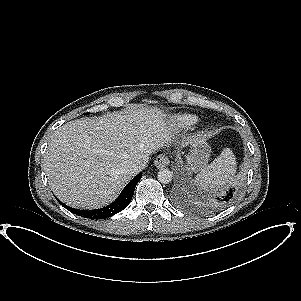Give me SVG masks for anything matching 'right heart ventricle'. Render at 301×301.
I'll return each instance as SVG.
<instances>
[{"label":"right heart ventricle","mask_w":301,"mask_h":301,"mask_svg":"<svg viewBox=\"0 0 301 301\" xmlns=\"http://www.w3.org/2000/svg\"><path fill=\"white\" fill-rule=\"evenodd\" d=\"M199 119L193 114H178L173 117L172 126L176 130H188L198 123Z\"/></svg>","instance_id":"obj_1"}]
</instances>
